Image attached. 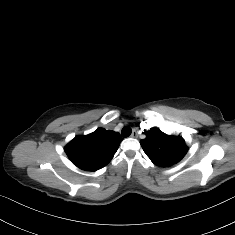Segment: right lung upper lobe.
Segmentation results:
<instances>
[{
  "mask_svg": "<svg viewBox=\"0 0 235 235\" xmlns=\"http://www.w3.org/2000/svg\"><path fill=\"white\" fill-rule=\"evenodd\" d=\"M121 141L118 132L98 128L91 134L76 136L66 145L65 152L80 169L96 171L111 161Z\"/></svg>",
  "mask_w": 235,
  "mask_h": 235,
  "instance_id": "cb5924a9",
  "label": "right lung upper lobe"
}]
</instances>
